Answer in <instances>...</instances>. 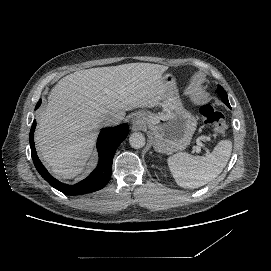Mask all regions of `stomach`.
<instances>
[{
	"label": "stomach",
	"instance_id": "1",
	"mask_svg": "<svg viewBox=\"0 0 271 271\" xmlns=\"http://www.w3.org/2000/svg\"><path fill=\"white\" fill-rule=\"evenodd\" d=\"M164 79L172 82L170 75L165 76ZM163 106L165 113L139 111L145 117L144 127L150 128L154 149L166 154L185 150L190 144L197 123L194 116L180 106L173 82L163 100Z\"/></svg>",
	"mask_w": 271,
	"mask_h": 271
}]
</instances>
